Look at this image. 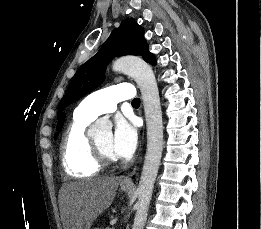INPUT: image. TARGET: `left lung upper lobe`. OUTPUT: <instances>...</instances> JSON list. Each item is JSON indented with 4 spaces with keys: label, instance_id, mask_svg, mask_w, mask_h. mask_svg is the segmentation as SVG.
Wrapping results in <instances>:
<instances>
[{
    "label": "left lung upper lobe",
    "instance_id": "left-lung-upper-lobe-1",
    "mask_svg": "<svg viewBox=\"0 0 261 229\" xmlns=\"http://www.w3.org/2000/svg\"><path fill=\"white\" fill-rule=\"evenodd\" d=\"M122 55H140L146 62L156 64L144 39L143 28L132 18L124 20L119 28L114 29L97 54L79 68L59 105L58 116L66 106L99 87L105 79L108 63Z\"/></svg>",
    "mask_w": 261,
    "mask_h": 229
}]
</instances>
